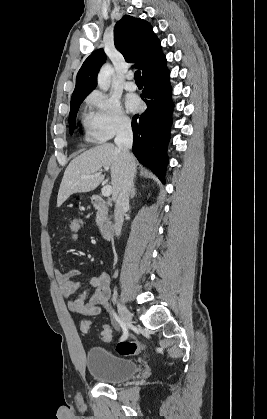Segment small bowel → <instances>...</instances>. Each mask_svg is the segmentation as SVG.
<instances>
[{
  "mask_svg": "<svg viewBox=\"0 0 267 419\" xmlns=\"http://www.w3.org/2000/svg\"><path fill=\"white\" fill-rule=\"evenodd\" d=\"M74 242L80 239L79 234L70 235ZM82 272L79 269H71L62 272L60 269L54 270V276L59 286L62 297L67 301V308L70 312L96 316L108 310L111 294L110 276L107 272L92 275L85 282L80 280ZM90 289L94 293L89 297Z\"/></svg>",
  "mask_w": 267,
  "mask_h": 419,
  "instance_id": "obj_1",
  "label": "small bowel"
}]
</instances>
